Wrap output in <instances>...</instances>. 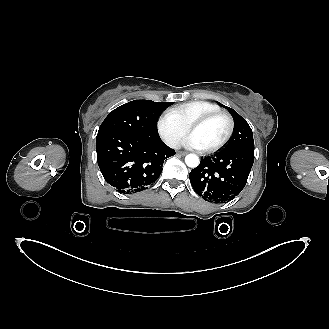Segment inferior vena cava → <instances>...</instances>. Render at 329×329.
<instances>
[{
	"label": "inferior vena cava",
	"instance_id": "inferior-vena-cava-1",
	"mask_svg": "<svg viewBox=\"0 0 329 329\" xmlns=\"http://www.w3.org/2000/svg\"><path fill=\"white\" fill-rule=\"evenodd\" d=\"M176 145H177L176 143H173L172 144L173 148H176L177 147Z\"/></svg>",
	"mask_w": 329,
	"mask_h": 329
}]
</instances>
